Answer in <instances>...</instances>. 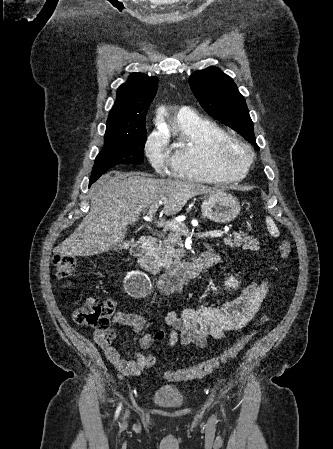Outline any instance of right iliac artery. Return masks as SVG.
<instances>
[{
  "instance_id": "1",
  "label": "right iliac artery",
  "mask_w": 333,
  "mask_h": 449,
  "mask_svg": "<svg viewBox=\"0 0 333 449\" xmlns=\"http://www.w3.org/2000/svg\"><path fill=\"white\" fill-rule=\"evenodd\" d=\"M119 410H120V407H119L118 410H117V414H118Z\"/></svg>"
}]
</instances>
